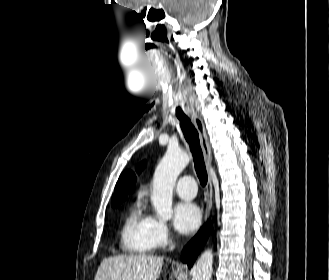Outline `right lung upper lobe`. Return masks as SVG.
<instances>
[{"instance_id": "obj_1", "label": "right lung upper lobe", "mask_w": 329, "mask_h": 280, "mask_svg": "<svg viewBox=\"0 0 329 280\" xmlns=\"http://www.w3.org/2000/svg\"><path fill=\"white\" fill-rule=\"evenodd\" d=\"M145 167V162L137 166L136 170L140 172ZM136 176L134 172L129 170L124 171L115 186V194L112 197V206L127 198L128 193L133 191L135 186Z\"/></svg>"}]
</instances>
